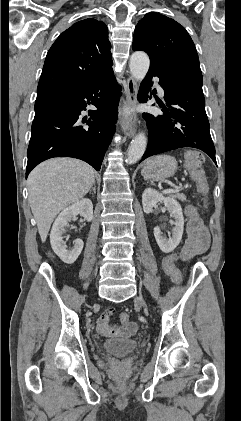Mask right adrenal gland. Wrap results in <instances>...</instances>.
<instances>
[{"instance_id":"obj_1","label":"right adrenal gland","mask_w":241,"mask_h":421,"mask_svg":"<svg viewBox=\"0 0 241 421\" xmlns=\"http://www.w3.org/2000/svg\"><path fill=\"white\" fill-rule=\"evenodd\" d=\"M92 191L94 192V194L96 193L95 181H94V183H93V187H92V189H90V193H91Z\"/></svg>"}]
</instances>
